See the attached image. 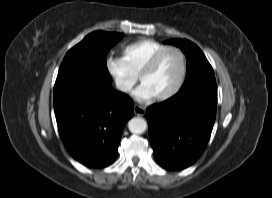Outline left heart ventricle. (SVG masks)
I'll return each instance as SVG.
<instances>
[{
  "label": "left heart ventricle",
  "mask_w": 272,
  "mask_h": 198,
  "mask_svg": "<svg viewBox=\"0 0 272 198\" xmlns=\"http://www.w3.org/2000/svg\"><path fill=\"white\" fill-rule=\"evenodd\" d=\"M182 69L181 57L177 52H168L154 71L142 78L153 97L164 95L174 88Z\"/></svg>",
  "instance_id": "left-heart-ventricle-1"
}]
</instances>
